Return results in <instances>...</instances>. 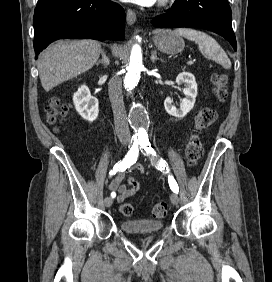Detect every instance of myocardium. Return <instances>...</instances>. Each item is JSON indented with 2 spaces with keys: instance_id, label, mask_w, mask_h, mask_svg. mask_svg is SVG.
<instances>
[{
  "instance_id": "1",
  "label": "myocardium",
  "mask_w": 272,
  "mask_h": 282,
  "mask_svg": "<svg viewBox=\"0 0 272 282\" xmlns=\"http://www.w3.org/2000/svg\"><path fill=\"white\" fill-rule=\"evenodd\" d=\"M174 1L175 0H158V6L163 9L169 8L170 6H172Z\"/></svg>"
}]
</instances>
